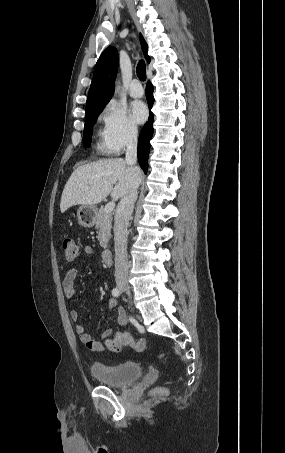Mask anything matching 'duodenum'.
<instances>
[{
  "instance_id": "duodenum-1",
  "label": "duodenum",
  "mask_w": 285,
  "mask_h": 453,
  "mask_svg": "<svg viewBox=\"0 0 285 453\" xmlns=\"http://www.w3.org/2000/svg\"><path fill=\"white\" fill-rule=\"evenodd\" d=\"M102 258L105 263L110 264L113 261V253L110 249H106L102 253Z\"/></svg>"
}]
</instances>
